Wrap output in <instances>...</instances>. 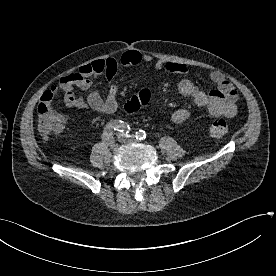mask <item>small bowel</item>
<instances>
[{"instance_id":"obj_1","label":"small bowel","mask_w":276,"mask_h":276,"mask_svg":"<svg viewBox=\"0 0 276 276\" xmlns=\"http://www.w3.org/2000/svg\"><path fill=\"white\" fill-rule=\"evenodd\" d=\"M153 58L148 54H142L135 50H129L121 54L119 58L97 59L79 68L75 73L63 77L58 89L63 92L65 104L68 107L79 110H93L102 114H112L118 109V89L115 85L109 84L106 97H102L99 92L91 90L92 78L105 75L111 80L117 74L120 66L131 67L141 63L150 64ZM156 71H167L174 74L185 75L187 67L179 63L157 61L154 64ZM211 81L216 85V89L210 92L201 90L190 79L183 78L178 83L180 94L192 98L194 104L201 108H206L213 116H225L232 118L237 112V92L233 85L220 73L213 72L210 75ZM75 88L89 91L84 98L75 93ZM53 92H45L40 101L52 102ZM191 116L189 108H180L173 112L172 121L175 124L186 122Z\"/></svg>"}]
</instances>
